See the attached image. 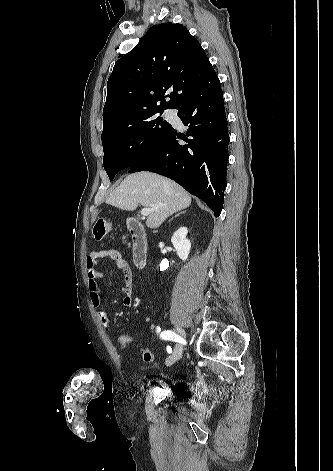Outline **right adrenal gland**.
<instances>
[{"label": "right adrenal gland", "mask_w": 333, "mask_h": 471, "mask_svg": "<svg viewBox=\"0 0 333 471\" xmlns=\"http://www.w3.org/2000/svg\"><path fill=\"white\" fill-rule=\"evenodd\" d=\"M185 212H186V211L179 212V213H177L174 217H178L180 214L185 213ZM174 217H173V218H174ZM173 218H171L170 220H172Z\"/></svg>", "instance_id": "1"}]
</instances>
